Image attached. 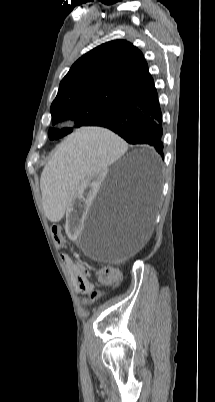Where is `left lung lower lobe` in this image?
Wrapping results in <instances>:
<instances>
[{"instance_id":"obj_1","label":"left lung lower lobe","mask_w":215,"mask_h":402,"mask_svg":"<svg viewBox=\"0 0 215 402\" xmlns=\"http://www.w3.org/2000/svg\"><path fill=\"white\" fill-rule=\"evenodd\" d=\"M96 126L108 128L130 144H147L163 157L162 114L151 75L128 100ZM152 205L155 190L148 194Z\"/></svg>"}]
</instances>
